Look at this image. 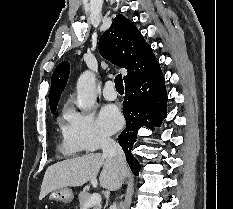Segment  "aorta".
<instances>
[{"label": "aorta", "instance_id": "1", "mask_svg": "<svg viewBox=\"0 0 233 209\" xmlns=\"http://www.w3.org/2000/svg\"><path fill=\"white\" fill-rule=\"evenodd\" d=\"M95 76L90 71H84L77 81V101L84 109L89 110L96 102Z\"/></svg>", "mask_w": 233, "mask_h": 209}]
</instances>
